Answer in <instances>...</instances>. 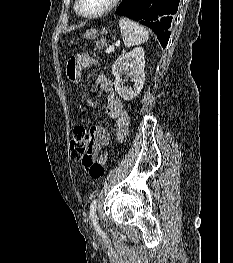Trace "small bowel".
<instances>
[{"instance_id":"obj_1","label":"small bowel","mask_w":233,"mask_h":263,"mask_svg":"<svg viewBox=\"0 0 233 263\" xmlns=\"http://www.w3.org/2000/svg\"><path fill=\"white\" fill-rule=\"evenodd\" d=\"M98 60L90 54H80L70 60L67 64V76L74 83H80L82 80V72L91 67H95ZM96 83L99 88L106 93V113L115 121V136L119 142H123L128 134L129 115L124 107L121 98L114 90L113 83L104 72L96 74ZM110 134L107 129L96 126L94 136L91 143L92 160L105 164L108 160V154L102 153V147L108 145Z\"/></svg>"}]
</instances>
